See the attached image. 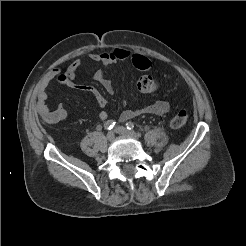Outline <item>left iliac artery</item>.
<instances>
[{
	"instance_id": "obj_1",
	"label": "left iliac artery",
	"mask_w": 246,
	"mask_h": 246,
	"mask_svg": "<svg viewBox=\"0 0 246 246\" xmlns=\"http://www.w3.org/2000/svg\"><path fill=\"white\" fill-rule=\"evenodd\" d=\"M126 127H127L128 130H133L134 129V124L131 121H129V122L126 123Z\"/></svg>"
}]
</instances>
